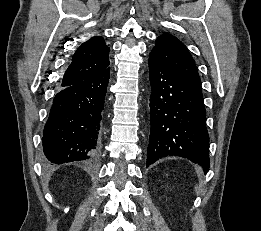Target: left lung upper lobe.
Listing matches in <instances>:
<instances>
[{"label":"left lung upper lobe","instance_id":"1","mask_svg":"<svg viewBox=\"0 0 261 231\" xmlns=\"http://www.w3.org/2000/svg\"><path fill=\"white\" fill-rule=\"evenodd\" d=\"M149 56L155 57L183 81L201 90L200 77L195 62L187 47L175 36L169 33L160 35Z\"/></svg>","mask_w":261,"mask_h":231}]
</instances>
